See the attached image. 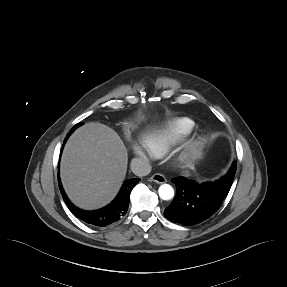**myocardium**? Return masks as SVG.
I'll return each instance as SVG.
<instances>
[{"instance_id": "obj_1", "label": "myocardium", "mask_w": 287, "mask_h": 287, "mask_svg": "<svg viewBox=\"0 0 287 287\" xmlns=\"http://www.w3.org/2000/svg\"><path fill=\"white\" fill-rule=\"evenodd\" d=\"M204 142H205V137L203 135H199L197 139L195 140V142L193 143V145L191 146V149H194L196 147L203 145Z\"/></svg>"}]
</instances>
